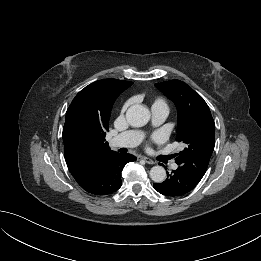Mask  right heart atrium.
<instances>
[{"label": "right heart atrium", "instance_id": "right-heart-atrium-1", "mask_svg": "<svg viewBox=\"0 0 261 261\" xmlns=\"http://www.w3.org/2000/svg\"><path fill=\"white\" fill-rule=\"evenodd\" d=\"M129 105H130V101H127L126 103L123 104V106L121 108V111H120L121 115H123L126 112V110L129 107Z\"/></svg>", "mask_w": 261, "mask_h": 261}]
</instances>
